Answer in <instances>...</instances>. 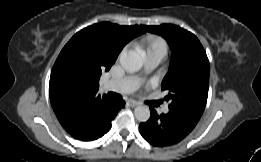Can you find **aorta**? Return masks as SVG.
I'll use <instances>...</instances> for the list:
<instances>
[{"label": "aorta", "instance_id": "obj_1", "mask_svg": "<svg viewBox=\"0 0 261 162\" xmlns=\"http://www.w3.org/2000/svg\"><path fill=\"white\" fill-rule=\"evenodd\" d=\"M120 65L127 72H136L143 66L142 56L135 50L123 52L120 55ZM150 109L148 106L141 105L135 108L134 116L140 122H146L150 118Z\"/></svg>", "mask_w": 261, "mask_h": 162}]
</instances>
